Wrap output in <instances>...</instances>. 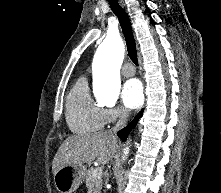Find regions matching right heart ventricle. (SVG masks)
<instances>
[{
  "label": "right heart ventricle",
  "mask_w": 221,
  "mask_h": 193,
  "mask_svg": "<svg viewBox=\"0 0 221 193\" xmlns=\"http://www.w3.org/2000/svg\"><path fill=\"white\" fill-rule=\"evenodd\" d=\"M66 117L75 133H90L105 125V109L91 97L84 77L77 80L66 99Z\"/></svg>",
  "instance_id": "obj_1"
}]
</instances>
